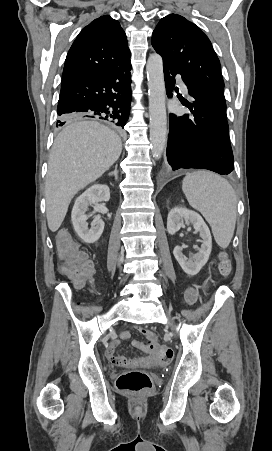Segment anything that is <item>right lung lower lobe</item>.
<instances>
[{"mask_svg":"<svg viewBox=\"0 0 272 451\" xmlns=\"http://www.w3.org/2000/svg\"><path fill=\"white\" fill-rule=\"evenodd\" d=\"M131 63L78 79L61 87L57 126L81 118L105 120L118 129L126 125L131 103Z\"/></svg>","mask_w":272,"mask_h":451,"instance_id":"obj_1","label":"right lung lower lobe"}]
</instances>
